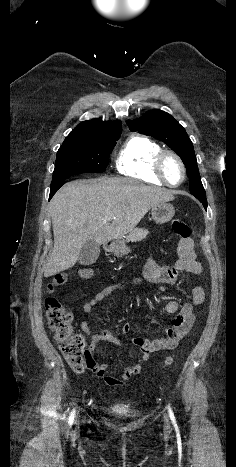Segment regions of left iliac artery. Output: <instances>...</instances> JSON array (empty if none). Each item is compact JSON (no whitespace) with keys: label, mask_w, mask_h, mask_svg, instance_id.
<instances>
[{"label":"left iliac artery","mask_w":236,"mask_h":467,"mask_svg":"<svg viewBox=\"0 0 236 467\" xmlns=\"http://www.w3.org/2000/svg\"><path fill=\"white\" fill-rule=\"evenodd\" d=\"M168 412H169V416H170V419H171L173 425L176 427L177 426L176 419H175L174 413H173L170 406H168Z\"/></svg>","instance_id":"left-iliac-artery-1"}]
</instances>
